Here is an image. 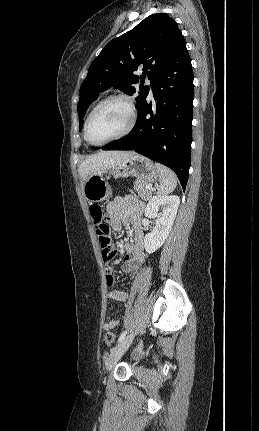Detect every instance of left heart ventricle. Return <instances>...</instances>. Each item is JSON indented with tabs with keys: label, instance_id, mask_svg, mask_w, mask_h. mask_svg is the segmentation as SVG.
<instances>
[{
	"label": "left heart ventricle",
	"instance_id": "b2bd125f",
	"mask_svg": "<svg viewBox=\"0 0 259 431\" xmlns=\"http://www.w3.org/2000/svg\"><path fill=\"white\" fill-rule=\"evenodd\" d=\"M128 122L126 105L120 100L109 101L93 115L89 124V137L93 142L105 141L123 131Z\"/></svg>",
	"mask_w": 259,
	"mask_h": 431
}]
</instances>
